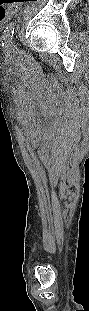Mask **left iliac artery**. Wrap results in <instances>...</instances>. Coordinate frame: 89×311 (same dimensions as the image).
<instances>
[{
	"instance_id": "1",
	"label": "left iliac artery",
	"mask_w": 89,
	"mask_h": 311,
	"mask_svg": "<svg viewBox=\"0 0 89 311\" xmlns=\"http://www.w3.org/2000/svg\"><path fill=\"white\" fill-rule=\"evenodd\" d=\"M14 29H15V23L11 22L7 25L6 29L4 30L2 39V45L7 47L12 43V37L14 34Z\"/></svg>"
}]
</instances>
